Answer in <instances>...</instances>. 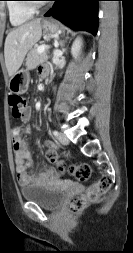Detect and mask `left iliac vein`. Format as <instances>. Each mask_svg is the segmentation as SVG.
<instances>
[{
    "mask_svg": "<svg viewBox=\"0 0 133 253\" xmlns=\"http://www.w3.org/2000/svg\"><path fill=\"white\" fill-rule=\"evenodd\" d=\"M58 140L61 144L63 145H67L69 144V139L67 138V136L63 133H59L58 135Z\"/></svg>",
    "mask_w": 133,
    "mask_h": 253,
    "instance_id": "obj_1",
    "label": "left iliac vein"
}]
</instances>
